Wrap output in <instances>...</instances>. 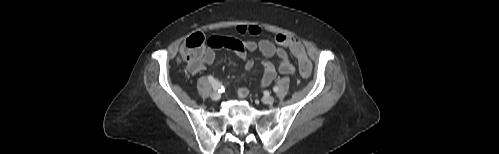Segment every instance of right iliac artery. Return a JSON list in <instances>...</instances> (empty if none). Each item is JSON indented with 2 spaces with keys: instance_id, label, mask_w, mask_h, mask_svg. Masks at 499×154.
<instances>
[{
  "instance_id": "obj_1",
  "label": "right iliac artery",
  "mask_w": 499,
  "mask_h": 154,
  "mask_svg": "<svg viewBox=\"0 0 499 154\" xmlns=\"http://www.w3.org/2000/svg\"><path fill=\"white\" fill-rule=\"evenodd\" d=\"M208 80L212 84V88L214 91H217L219 93L225 91L224 86L221 83H219L217 80H215L212 76H208Z\"/></svg>"
}]
</instances>
